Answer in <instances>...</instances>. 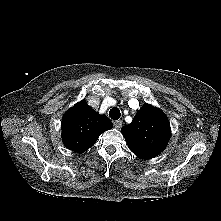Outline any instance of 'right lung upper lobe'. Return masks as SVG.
Instances as JSON below:
<instances>
[{"label":"right lung upper lobe","instance_id":"right-lung-upper-lobe-1","mask_svg":"<svg viewBox=\"0 0 221 221\" xmlns=\"http://www.w3.org/2000/svg\"><path fill=\"white\" fill-rule=\"evenodd\" d=\"M112 127L106 115H100L82 100L64 114L62 140L68 149L84 152L95 144L100 134Z\"/></svg>","mask_w":221,"mask_h":221}]
</instances>
